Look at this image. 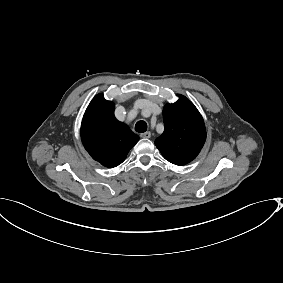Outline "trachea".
<instances>
[{"label": "trachea", "instance_id": "3493384b", "mask_svg": "<svg viewBox=\"0 0 283 283\" xmlns=\"http://www.w3.org/2000/svg\"><path fill=\"white\" fill-rule=\"evenodd\" d=\"M135 130L137 132H140V133H144L146 132L147 130V123L143 120L141 121H138L136 124H135Z\"/></svg>", "mask_w": 283, "mask_h": 283}]
</instances>
